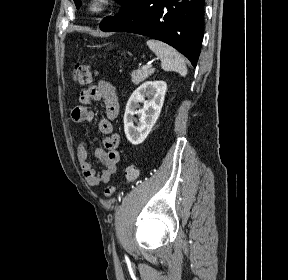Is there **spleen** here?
Returning <instances> with one entry per match:
<instances>
[{"mask_svg":"<svg viewBox=\"0 0 288 280\" xmlns=\"http://www.w3.org/2000/svg\"><path fill=\"white\" fill-rule=\"evenodd\" d=\"M147 46L161 59V67L165 71H176L186 76L187 67L182 56L171 46L158 40L150 39Z\"/></svg>","mask_w":288,"mask_h":280,"instance_id":"3e777b00","label":"spleen"}]
</instances>
